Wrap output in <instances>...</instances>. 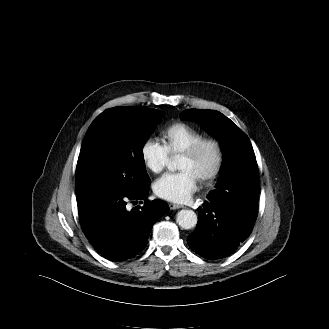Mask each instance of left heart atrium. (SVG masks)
<instances>
[{"label": "left heart atrium", "mask_w": 329, "mask_h": 329, "mask_svg": "<svg viewBox=\"0 0 329 329\" xmlns=\"http://www.w3.org/2000/svg\"><path fill=\"white\" fill-rule=\"evenodd\" d=\"M197 177L189 170L167 173L154 183L155 194L167 201L183 203L197 190Z\"/></svg>", "instance_id": "obj_1"}]
</instances>
